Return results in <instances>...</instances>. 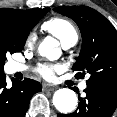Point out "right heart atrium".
Listing matches in <instances>:
<instances>
[{"mask_svg":"<svg viewBox=\"0 0 117 117\" xmlns=\"http://www.w3.org/2000/svg\"><path fill=\"white\" fill-rule=\"evenodd\" d=\"M36 36L34 33H31L26 39V45L30 46L35 42Z\"/></svg>","mask_w":117,"mask_h":117,"instance_id":"1","label":"right heart atrium"}]
</instances>
